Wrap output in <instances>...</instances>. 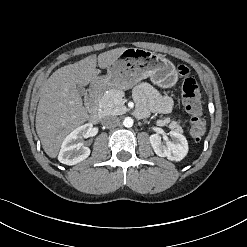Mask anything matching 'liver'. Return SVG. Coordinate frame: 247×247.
<instances>
[{
  "mask_svg": "<svg viewBox=\"0 0 247 247\" xmlns=\"http://www.w3.org/2000/svg\"><path fill=\"white\" fill-rule=\"evenodd\" d=\"M126 47L90 55L56 70L40 88L36 113V131L45 153L55 158L66 136L86 122L89 114L83 106L78 86L91 83L101 69L108 68Z\"/></svg>",
  "mask_w": 247,
  "mask_h": 247,
  "instance_id": "6515ba94",
  "label": "liver"
}]
</instances>
